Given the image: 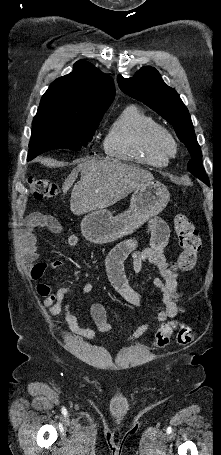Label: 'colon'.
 I'll use <instances>...</instances> for the list:
<instances>
[{
    "instance_id": "5ec220e1",
    "label": "colon",
    "mask_w": 221,
    "mask_h": 455,
    "mask_svg": "<svg viewBox=\"0 0 221 455\" xmlns=\"http://www.w3.org/2000/svg\"><path fill=\"white\" fill-rule=\"evenodd\" d=\"M31 195L37 200H48L59 195L60 189L56 183L45 178H32L29 181ZM174 228L179 240L180 254L172 269L188 272L196 264L201 240L193 222L185 215H178L174 220ZM175 337L180 345H190L196 339V333L186 323L168 321L160 325L154 336L156 348H165Z\"/></svg>"
}]
</instances>
